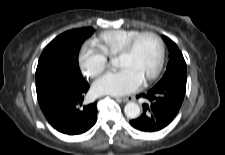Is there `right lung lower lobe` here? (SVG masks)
<instances>
[{
	"mask_svg": "<svg viewBox=\"0 0 225 155\" xmlns=\"http://www.w3.org/2000/svg\"><path fill=\"white\" fill-rule=\"evenodd\" d=\"M89 89L85 80H63L37 96L41 110L53 128L76 135L89 130L97 121L96 103L82 106Z\"/></svg>",
	"mask_w": 225,
	"mask_h": 155,
	"instance_id": "obj_1",
	"label": "right lung lower lobe"
}]
</instances>
